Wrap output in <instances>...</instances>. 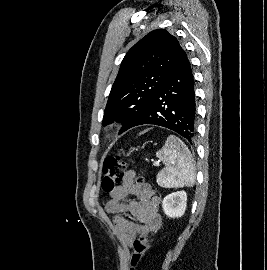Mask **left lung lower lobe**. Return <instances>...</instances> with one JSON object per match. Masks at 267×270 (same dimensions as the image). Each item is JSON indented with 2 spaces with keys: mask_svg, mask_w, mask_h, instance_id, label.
<instances>
[{
  "mask_svg": "<svg viewBox=\"0 0 267 270\" xmlns=\"http://www.w3.org/2000/svg\"><path fill=\"white\" fill-rule=\"evenodd\" d=\"M196 116L193 75L186 52L181 48L164 84L134 126H162L192 144L196 136Z\"/></svg>",
  "mask_w": 267,
  "mask_h": 270,
  "instance_id": "obj_1",
  "label": "left lung lower lobe"
}]
</instances>
